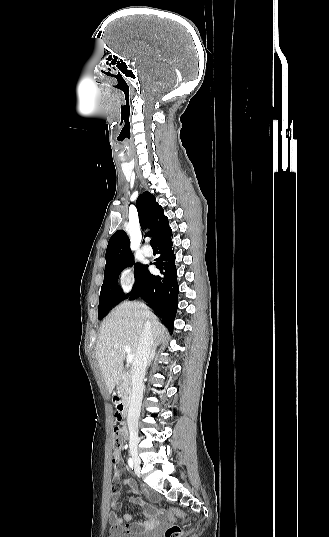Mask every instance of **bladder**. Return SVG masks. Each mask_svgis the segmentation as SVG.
Here are the masks:
<instances>
[{
    "mask_svg": "<svg viewBox=\"0 0 329 537\" xmlns=\"http://www.w3.org/2000/svg\"><path fill=\"white\" fill-rule=\"evenodd\" d=\"M108 537H155L152 531H146L141 533H125V532H114L110 530Z\"/></svg>",
    "mask_w": 329,
    "mask_h": 537,
    "instance_id": "bladder-1",
    "label": "bladder"
}]
</instances>
